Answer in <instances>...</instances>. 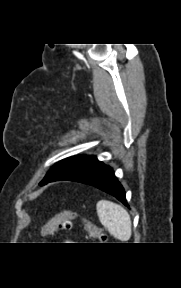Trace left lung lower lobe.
<instances>
[{"instance_id":"1","label":"left lung lower lobe","mask_w":181,"mask_h":288,"mask_svg":"<svg viewBox=\"0 0 181 288\" xmlns=\"http://www.w3.org/2000/svg\"><path fill=\"white\" fill-rule=\"evenodd\" d=\"M78 182L99 188L100 190L116 197L125 206L129 207L125 197L124 188L117 180L116 176L114 175V171L110 166L104 164L94 173L81 179ZM45 184L47 183L42 185Z\"/></svg>"}]
</instances>
